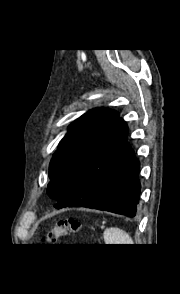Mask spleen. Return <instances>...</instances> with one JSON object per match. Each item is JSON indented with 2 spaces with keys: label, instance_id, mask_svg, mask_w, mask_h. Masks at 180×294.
Segmentation results:
<instances>
[{
  "label": "spleen",
  "instance_id": "spleen-1",
  "mask_svg": "<svg viewBox=\"0 0 180 294\" xmlns=\"http://www.w3.org/2000/svg\"><path fill=\"white\" fill-rule=\"evenodd\" d=\"M103 237L106 244H133L132 238L125 231L116 227L106 229Z\"/></svg>",
  "mask_w": 180,
  "mask_h": 294
}]
</instances>
